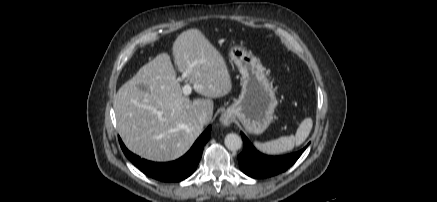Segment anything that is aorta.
Masks as SVG:
<instances>
[{"mask_svg": "<svg viewBox=\"0 0 437 202\" xmlns=\"http://www.w3.org/2000/svg\"><path fill=\"white\" fill-rule=\"evenodd\" d=\"M224 143L231 151H237L242 147V139L235 133L227 134Z\"/></svg>", "mask_w": 437, "mask_h": 202, "instance_id": "1", "label": "aorta"}]
</instances>
